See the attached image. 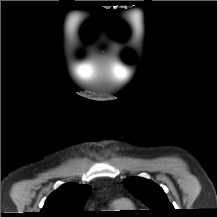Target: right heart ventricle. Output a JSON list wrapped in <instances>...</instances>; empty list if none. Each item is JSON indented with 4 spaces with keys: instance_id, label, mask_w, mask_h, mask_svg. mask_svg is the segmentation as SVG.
<instances>
[{
    "instance_id": "e07e8e85",
    "label": "right heart ventricle",
    "mask_w": 217,
    "mask_h": 217,
    "mask_svg": "<svg viewBox=\"0 0 217 217\" xmlns=\"http://www.w3.org/2000/svg\"><path fill=\"white\" fill-rule=\"evenodd\" d=\"M109 209L115 212H123L134 209V206L128 200H116L110 203Z\"/></svg>"
}]
</instances>
